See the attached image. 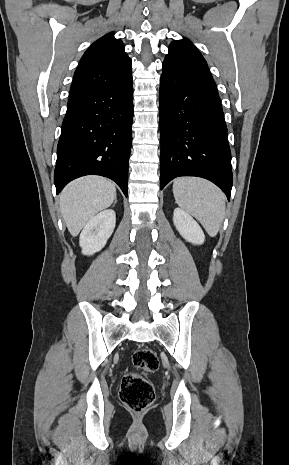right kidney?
<instances>
[{
  "mask_svg": "<svg viewBox=\"0 0 289 465\" xmlns=\"http://www.w3.org/2000/svg\"><path fill=\"white\" fill-rule=\"evenodd\" d=\"M116 224L114 210L108 209L94 216L80 234L79 245L84 255L100 251L112 235Z\"/></svg>",
  "mask_w": 289,
  "mask_h": 465,
  "instance_id": "1",
  "label": "right kidney"
}]
</instances>
